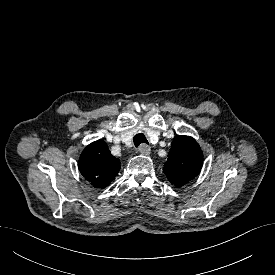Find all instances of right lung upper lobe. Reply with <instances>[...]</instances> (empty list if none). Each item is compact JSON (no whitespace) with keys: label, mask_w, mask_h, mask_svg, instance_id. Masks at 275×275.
Instances as JSON below:
<instances>
[{"label":"right lung upper lobe","mask_w":275,"mask_h":275,"mask_svg":"<svg viewBox=\"0 0 275 275\" xmlns=\"http://www.w3.org/2000/svg\"><path fill=\"white\" fill-rule=\"evenodd\" d=\"M120 160L112 156L107 144L97 140L88 145L79 158V170L95 188L107 186L118 174Z\"/></svg>","instance_id":"cb5924a9"}]
</instances>
